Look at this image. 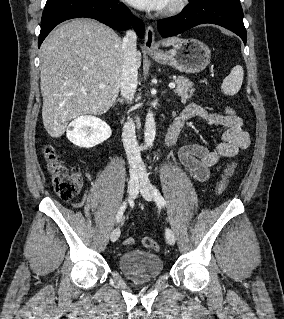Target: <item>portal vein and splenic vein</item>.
<instances>
[{
  "label": "portal vein and splenic vein",
  "instance_id": "obj_1",
  "mask_svg": "<svg viewBox=\"0 0 284 319\" xmlns=\"http://www.w3.org/2000/svg\"><path fill=\"white\" fill-rule=\"evenodd\" d=\"M104 87H105V85L103 83L99 84V88H104ZM169 88L170 89L175 88V83L174 82L169 83Z\"/></svg>",
  "mask_w": 284,
  "mask_h": 319
}]
</instances>
